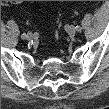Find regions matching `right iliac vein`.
Listing matches in <instances>:
<instances>
[{
	"label": "right iliac vein",
	"mask_w": 109,
	"mask_h": 109,
	"mask_svg": "<svg viewBox=\"0 0 109 109\" xmlns=\"http://www.w3.org/2000/svg\"><path fill=\"white\" fill-rule=\"evenodd\" d=\"M25 38H26L27 40H31V39H33V34H32L31 32H28V33L26 34Z\"/></svg>",
	"instance_id": "63e3f726"
}]
</instances>
